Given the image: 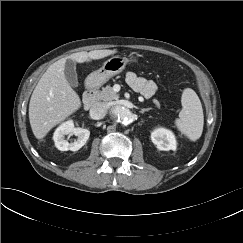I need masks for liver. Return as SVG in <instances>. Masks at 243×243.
Listing matches in <instances>:
<instances>
[{"label": "liver", "mask_w": 243, "mask_h": 243, "mask_svg": "<svg viewBox=\"0 0 243 243\" xmlns=\"http://www.w3.org/2000/svg\"><path fill=\"white\" fill-rule=\"evenodd\" d=\"M114 53L115 50L108 49L77 52L48 67L37 83L29 102V121L37 139H43L53 127L81 107L80 97L72 89L64 74L66 60L84 63Z\"/></svg>", "instance_id": "obj_1"}]
</instances>
